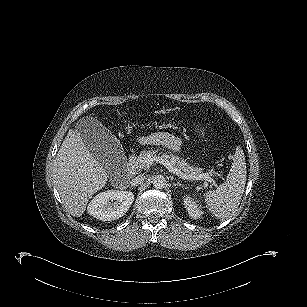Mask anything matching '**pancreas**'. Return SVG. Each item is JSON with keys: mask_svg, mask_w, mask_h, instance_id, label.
<instances>
[{"mask_svg": "<svg viewBox=\"0 0 307 307\" xmlns=\"http://www.w3.org/2000/svg\"><path fill=\"white\" fill-rule=\"evenodd\" d=\"M156 154H162V157L166 160H169L170 163L178 168L179 170H181L182 172H184L187 175H199L203 172V169L200 167H195V166H191L189 163H187L185 160L179 158V156L172 154V153H164V152H159V150L156 151H144L142 153H140V155L137 157L136 159V164L137 167L140 169H144L146 168V165L143 162L144 157H146L147 155H156Z\"/></svg>", "mask_w": 307, "mask_h": 307, "instance_id": "cf45deb5", "label": "pancreas"}]
</instances>
